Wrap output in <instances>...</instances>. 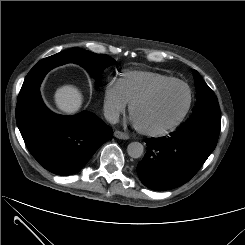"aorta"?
<instances>
[{
  "instance_id": "1",
  "label": "aorta",
  "mask_w": 245,
  "mask_h": 245,
  "mask_svg": "<svg viewBox=\"0 0 245 245\" xmlns=\"http://www.w3.org/2000/svg\"><path fill=\"white\" fill-rule=\"evenodd\" d=\"M143 152H144V147L139 142H131L127 146V153L132 158H139V157H141L142 154H143Z\"/></svg>"
}]
</instances>
